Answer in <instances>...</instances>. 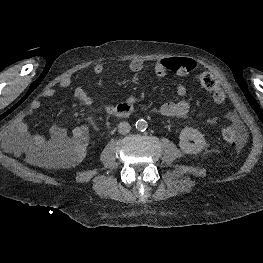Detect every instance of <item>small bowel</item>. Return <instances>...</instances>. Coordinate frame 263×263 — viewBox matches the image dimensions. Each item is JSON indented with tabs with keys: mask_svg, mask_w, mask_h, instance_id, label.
I'll list each match as a JSON object with an SVG mask.
<instances>
[{
	"mask_svg": "<svg viewBox=\"0 0 263 263\" xmlns=\"http://www.w3.org/2000/svg\"><path fill=\"white\" fill-rule=\"evenodd\" d=\"M170 58L155 60L153 62V69L155 74L161 78H168L174 74L168 67L167 62ZM191 60V59H190ZM192 61V60H191ZM193 62V61H192ZM145 67V61L141 58H136L131 61L130 69L134 72H139ZM93 72L96 75H100L104 72V66L102 64H96L93 67ZM72 77L66 75L62 77L56 84L48 86L42 93V98H48L54 96L58 89H65L71 86ZM74 96L79 99L83 104L92 106L93 100L86 94L82 86H76L73 88ZM186 90L183 86H179L176 89V99L173 102L163 104L158 112L165 116H185L194 110V106L191 102L185 99ZM104 110L111 111L110 106H104ZM236 126H239V122L235 121ZM74 132H81L86 136V130L84 128H76L72 131L59 126H52L48 137H44L38 134H32L27 128L26 122L22 121L19 124L20 139L28 149L35 154L46 150L56 149L65 144L69 136Z\"/></svg>",
	"mask_w": 263,
	"mask_h": 263,
	"instance_id": "obj_1",
	"label": "small bowel"
}]
</instances>
